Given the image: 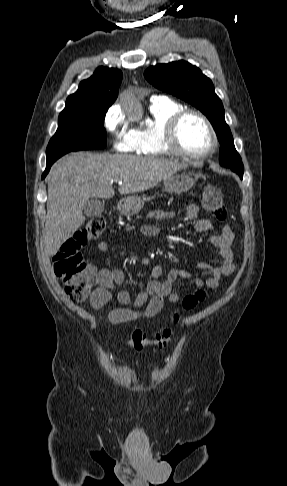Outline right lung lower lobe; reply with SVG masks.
<instances>
[{"label": "right lung lower lobe", "mask_w": 287, "mask_h": 486, "mask_svg": "<svg viewBox=\"0 0 287 486\" xmlns=\"http://www.w3.org/2000/svg\"><path fill=\"white\" fill-rule=\"evenodd\" d=\"M53 163H54V162L47 163V166H46V169H45V171H44V173H43V175H42V178H45V176H46V175H47V173L49 172V170H50V168H51V166H52V164H53Z\"/></svg>", "instance_id": "1"}]
</instances>
